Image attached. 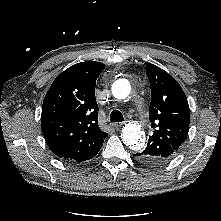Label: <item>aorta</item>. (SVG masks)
Wrapping results in <instances>:
<instances>
[{
	"label": "aorta",
	"instance_id": "762f6f07",
	"mask_svg": "<svg viewBox=\"0 0 221 221\" xmlns=\"http://www.w3.org/2000/svg\"><path fill=\"white\" fill-rule=\"evenodd\" d=\"M131 92V85L126 79H119L112 85V94L117 99H125ZM121 138L126 146L132 150L143 148L145 139L141 126L135 122L125 124L122 129Z\"/></svg>",
	"mask_w": 221,
	"mask_h": 221
}]
</instances>
